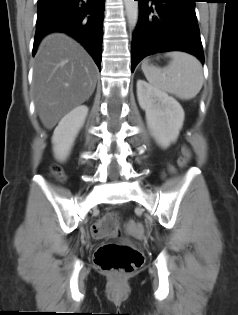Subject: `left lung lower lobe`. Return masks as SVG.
Instances as JSON below:
<instances>
[{
	"instance_id": "obj_1",
	"label": "left lung lower lobe",
	"mask_w": 238,
	"mask_h": 315,
	"mask_svg": "<svg viewBox=\"0 0 238 315\" xmlns=\"http://www.w3.org/2000/svg\"><path fill=\"white\" fill-rule=\"evenodd\" d=\"M134 1H139V20L131 45L132 72L146 56L166 51L188 52L204 62L196 0Z\"/></svg>"
}]
</instances>
